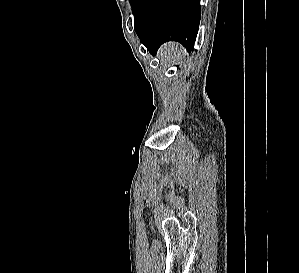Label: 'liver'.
Segmentation results:
<instances>
[{"label": "liver", "mask_w": 299, "mask_h": 273, "mask_svg": "<svg viewBox=\"0 0 299 273\" xmlns=\"http://www.w3.org/2000/svg\"><path fill=\"white\" fill-rule=\"evenodd\" d=\"M158 56L160 57L161 61H173L174 63L180 62L182 64H184L188 58L184 48L175 42H170L163 45L159 50Z\"/></svg>", "instance_id": "liver-1"}]
</instances>
